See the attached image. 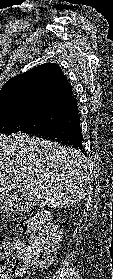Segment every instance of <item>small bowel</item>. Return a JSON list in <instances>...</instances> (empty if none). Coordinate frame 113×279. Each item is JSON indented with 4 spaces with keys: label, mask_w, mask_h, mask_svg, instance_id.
<instances>
[{
    "label": "small bowel",
    "mask_w": 113,
    "mask_h": 279,
    "mask_svg": "<svg viewBox=\"0 0 113 279\" xmlns=\"http://www.w3.org/2000/svg\"><path fill=\"white\" fill-rule=\"evenodd\" d=\"M0 279H10L7 275L0 274Z\"/></svg>",
    "instance_id": "small-bowel-1"
}]
</instances>
